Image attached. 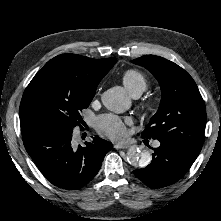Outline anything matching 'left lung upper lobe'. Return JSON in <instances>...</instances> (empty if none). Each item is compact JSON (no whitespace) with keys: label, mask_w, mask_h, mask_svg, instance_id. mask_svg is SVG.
I'll return each mask as SVG.
<instances>
[{"label":"left lung upper lobe","mask_w":221,"mask_h":221,"mask_svg":"<svg viewBox=\"0 0 221 221\" xmlns=\"http://www.w3.org/2000/svg\"><path fill=\"white\" fill-rule=\"evenodd\" d=\"M148 69L158 80L162 98L143 138L181 146L199 154L206 125L205 104L192 77L177 64L154 55L132 60Z\"/></svg>","instance_id":"obj_1"}]
</instances>
